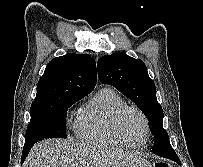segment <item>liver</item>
Masks as SVG:
<instances>
[{
	"label": "liver",
	"instance_id": "6515ba94",
	"mask_svg": "<svg viewBox=\"0 0 203 167\" xmlns=\"http://www.w3.org/2000/svg\"><path fill=\"white\" fill-rule=\"evenodd\" d=\"M23 167H151L135 154L107 150L73 140L48 139L36 144Z\"/></svg>",
	"mask_w": 203,
	"mask_h": 167
}]
</instances>
